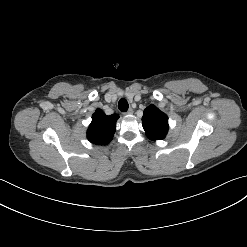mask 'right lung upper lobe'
<instances>
[{"label": "right lung upper lobe", "mask_w": 247, "mask_h": 247, "mask_svg": "<svg viewBox=\"0 0 247 247\" xmlns=\"http://www.w3.org/2000/svg\"><path fill=\"white\" fill-rule=\"evenodd\" d=\"M118 114L106 115L102 110L97 109L92 115V122L87 130L88 140L95 145H107L112 140Z\"/></svg>", "instance_id": "cb5924a9"}]
</instances>
